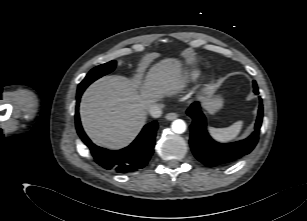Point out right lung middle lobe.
<instances>
[{
    "mask_svg": "<svg viewBox=\"0 0 307 221\" xmlns=\"http://www.w3.org/2000/svg\"><path fill=\"white\" fill-rule=\"evenodd\" d=\"M116 66V61H110L108 63L99 65L93 68L85 77V79L79 84L78 90H85L96 79L112 72Z\"/></svg>",
    "mask_w": 307,
    "mask_h": 221,
    "instance_id": "obj_1",
    "label": "right lung middle lobe"
}]
</instances>
